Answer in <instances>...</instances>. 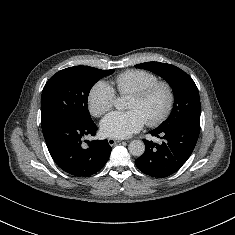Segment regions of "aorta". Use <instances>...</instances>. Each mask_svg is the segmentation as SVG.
Returning a JSON list of instances; mask_svg holds the SVG:
<instances>
[{
    "instance_id": "1",
    "label": "aorta",
    "mask_w": 235,
    "mask_h": 235,
    "mask_svg": "<svg viewBox=\"0 0 235 235\" xmlns=\"http://www.w3.org/2000/svg\"><path fill=\"white\" fill-rule=\"evenodd\" d=\"M115 106L118 109H123L126 106V102L123 98H117L115 102ZM129 152L136 157H140L145 152V144L141 140H133L130 142L128 146Z\"/></svg>"
}]
</instances>
